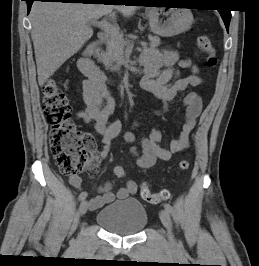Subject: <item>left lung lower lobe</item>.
<instances>
[{
  "mask_svg": "<svg viewBox=\"0 0 259 266\" xmlns=\"http://www.w3.org/2000/svg\"><path fill=\"white\" fill-rule=\"evenodd\" d=\"M148 3H164L163 1H156V2H147L145 1V4H148ZM220 13H221V17L224 21V24L226 26V29L228 31L229 29V23H230V19H231V11L227 10V9H220L219 10Z\"/></svg>",
  "mask_w": 259,
  "mask_h": 266,
  "instance_id": "1",
  "label": "left lung lower lobe"
}]
</instances>
